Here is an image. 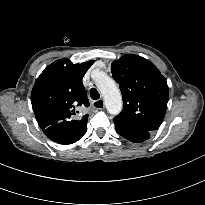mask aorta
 <instances>
[{"instance_id":"aorta-1","label":"aorta","mask_w":205,"mask_h":205,"mask_svg":"<svg viewBox=\"0 0 205 205\" xmlns=\"http://www.w3.org/2000/svg\"><path fill=\"white\" fill-rule=\"evenodd\" d=\"M95 84L104 98L107 111L112 115L119 114L122 110V96L115 81L104 72H99Z\"/></svg>"}]
</instances>
